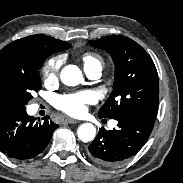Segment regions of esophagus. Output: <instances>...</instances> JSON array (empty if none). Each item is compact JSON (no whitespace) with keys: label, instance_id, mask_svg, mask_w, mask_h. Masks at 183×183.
I'll use <instances>...</instances> for the list:
<instances>
[{"label":"esophagus","instance_id":"esophagus-1","mask_svg":"<svg viewBox=\"0 0 183 183\" xmlns=\"http://www.w3.org/2000/svg\"><path fill=\"white\" fill-rule=\"evenodd\" d=\"M64 122L68 123V124H75V123H77V120L67 117L64 119Z\"/></svg>","mask_w":183,"mask_h":183}]
</instances>
